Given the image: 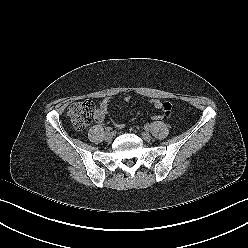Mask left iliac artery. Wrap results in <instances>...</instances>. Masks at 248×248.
<instances>
[{
  "mask_svg": "<svg viewBox=\"0 0 248 248\" xmlns=\"http://www.w3.org/2000/svg\"><path fill=\"white\" fill-rule=\"evenodd\" d=\"M144 128H145V130H149V129H150V125H149V124H146V125L144 126Z\"/></svg>",
  "mask_w": 248,
  "mask_h": 248,
  "instance_id": "left-iliac-artery-1",
  "label": "left iliac artery"
}]
</instances>
